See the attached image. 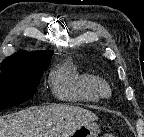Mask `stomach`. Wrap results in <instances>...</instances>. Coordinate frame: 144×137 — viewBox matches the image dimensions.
I'll use <instances>...</instances> for the list:
<instances>
[{"instance_id": "stomach-1", "label": "stomach", "mask_w": 144, "mask_h": 137, "mask_svg": "<svg viewBox=\"0 0 144 137\" xmlns=\"http://www.w3.org/2000/svg\"><path fill=\"white\" fill-rule=\"evenodd\" d=\"M100 128L94 123H88L80 126L73 131L68 137H98Z\"/></svg>"}]
</instances>
